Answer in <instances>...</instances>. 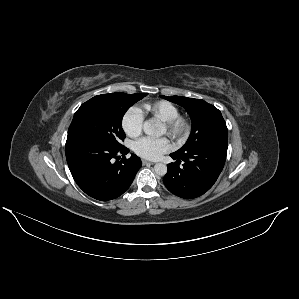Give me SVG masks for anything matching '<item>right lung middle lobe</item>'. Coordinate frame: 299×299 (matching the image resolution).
<instances>
[{"label": "right lung middle lobe", "instance_id": "obj_1", "mask_svg": "<svg viewBox=\"0 0 299 299\" xmlns=\"http://www.w3.org/2000/svg\"><path fill=\"white\" fill-rule=\"evenodd\" d=\"M147 93H111L95 96L75 112L67 141L91 138L121 147L125 133L121 127L125 112Z\"/></svg>", "mask_w": 299, "mask_h": 299}]
</instances>
